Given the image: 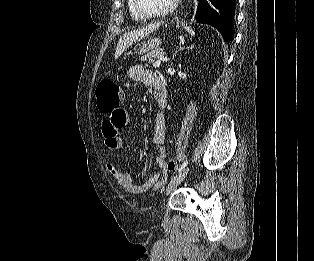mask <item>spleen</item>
<instances>
[{
    "label": "spleen",
    "mask_w": 314,
    "mask_h": 261,
    "mask_svg": "<svg viewBox=\"0 0 314 261\" xmlns=\"http://www.w3.org/2000/svg\"><path fill=\"white\" fill-rule=\"evenodd\" d=\"M187 29H188L189 33H191V35L195 34L194 31L192 29H190L189 27Z\"/></svg>",
    "instance_id": "obj_1"
}]
</instances>
